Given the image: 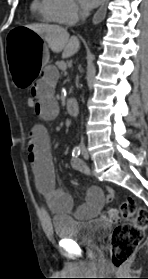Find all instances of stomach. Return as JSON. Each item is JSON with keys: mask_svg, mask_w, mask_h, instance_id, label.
Wrapping results in <instances>:
<instances>
[{"mask_svg": "<svg viewBox=\"0 0 148 279\" xmlns=\"http://www.w3.org/2000/svg\"><path fill=\"white\" fill-rule=\"evenodd\" d=\"M5 34V55H10V79L15 91H30L35 87L41 67L48 63L49 52L42 37L32 31L31 25H14Z\"/></svg>", "mask_w": 148, "mask_h": 279, "instance_id": "1", "label": "stomach"}]
</instances>
